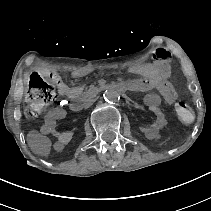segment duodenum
<instances>
[{"instance_id": "1", "label": "duodenum", "mask_w": 211, "mask_h": 211, "mask_svg": "<svg viewBox=\"0 0 211 211\" xmlns=\"http://www.w3.org/2000/svg\"><path fill=\"white\" fill-rule=\"evenodd\" d=\"M137 89L138 83L136 80H123L99 86L95 91L102 92L105 90H116L120 93H124L128 91H136ZM70 109L72 111L78 112L82 109V103L80 101H74L70 104Z\"/></svg>"}]
</instances>
